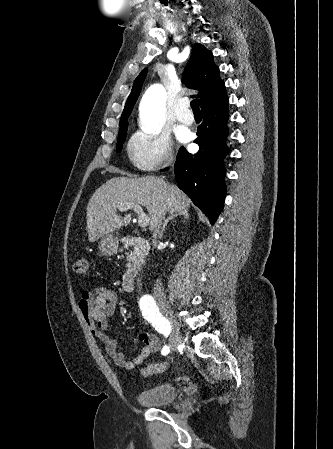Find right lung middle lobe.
Segmentation results:
<instances>
[{"label":"right lung middle lobe","instance_id":"obj_1","mask_svg":"<svg viewBox=\"0 0 333 449\" xmlns=\"http://www.w3.org/2000/svg\"><path fill=\"white\" fill-rule=\"evenodd\" d=\"M126 119L127 118H123L120 121V130H119V134H118V142H117V147H116L117 152H120L122 150V146H123V143L126 138V132H127V128H128V124L125 121Z\"/></svg>","mask_w":333,"mask_h":449}]
</instances>
